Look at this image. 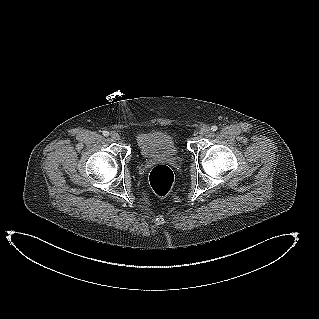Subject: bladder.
<instances>
[{
    "mask_svg": "<svg viewBox=\"0 0 319 319\" xmlns=\"http://www.w3.org/2000/svg\"><path fill=\"white\" fill-rule=\"evenodd\" d=\"M136 144L139 154L145 159L176 158L179 154L175 140L165 132L142 133Z\"/></svg>",
    "mask_w": 319,
    "mask_h": 319,
    "instance_id": "obj_1",
    "label": "bladder"
}]
</instances>
